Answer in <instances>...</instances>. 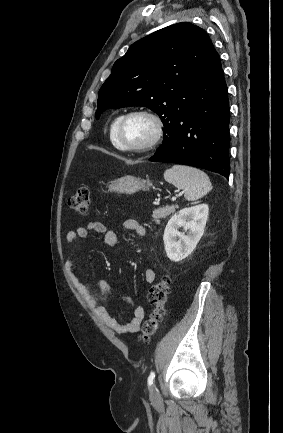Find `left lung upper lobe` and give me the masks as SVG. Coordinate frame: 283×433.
Instances as JSON below:
<instances>
[{"mask_svg":"<svg viewBox=\"0 0 283 433\" xmlns=\"http://www.w3.org/2000/svg\"><path fill=\"white\" fill-rule=\"evenodd\" d=\"M205 31L189 22L133 43L99 90L96 119L108 108L146 106L164 126L192 106V86L213 50Z\"/></svg>","mask_w":283,"mask_h":433,"instance_id":"obj_1","label":"left lung upper lobe"}]
</instances>
